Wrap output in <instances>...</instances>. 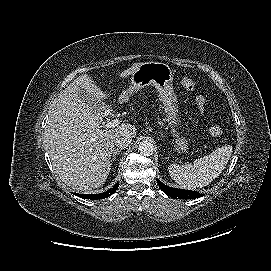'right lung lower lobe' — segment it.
Listing matches in <instances>:
<instances>
[{
  "instance_id": "obj_1",
  "label": "right lung lower lobe",
  "mask_w": 271,
  "mask_h": 271,
  "mask_svg": "<svg viewBox=\"0 0 271 271\" xmlns=\"http://www.w3.org/2000/svg\"><path fill=\"white\" fill-rule=\"evenodd\" d=\"M119 184H115L114 188L109 189L106 192L103 193H99V194H78V193H74L75 195H77L80 198H84V199H103V198H107L110 195H112L118 188Z\"/></svg>"
}]
</instances>
